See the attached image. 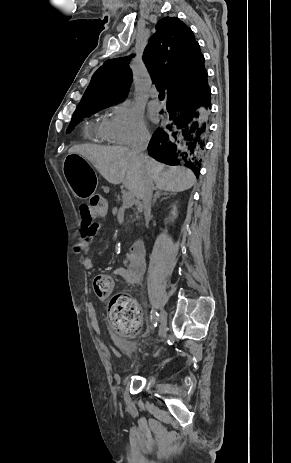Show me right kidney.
Returning <instances> with one entry per match:
<instances>
[{"mask_svg":"<svg viewBox=\"0 0 291 463\" xmlns=\"http://www.w3.org/2000/svg\"><path fill=\"white\" fill-rule=\"evenodd\" d=\"M171 215L172 216H170L169 218L166 219V223L173 222L174 219L177 217V208H176L175 205L172 207Z\"/></svg>","mask_w":291,"mask_h":463,"instance_id":"right-kidney-1","label":"right kidney"}]
</instances>
